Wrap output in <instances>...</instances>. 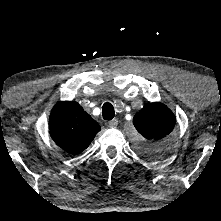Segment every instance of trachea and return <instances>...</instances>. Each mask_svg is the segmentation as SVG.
Masks as SVG:
<instances>
[{
	"instance_id": "3493384b",
	"label": "trachea",
	"mask_w": 221,
	"mask_h": 221,
	"mask_svg": "<svg viewBox=\"0 0 221 221\" xmlns=\"http://www.w3.org/2000/svg\"><path fill=\"white\" fill-rule=\"evenodd\" d=\"M102 114L105 120H112L115 115L114 107L111 103L106 102L102 107Z\"/></svg>"
}]
</instances>
